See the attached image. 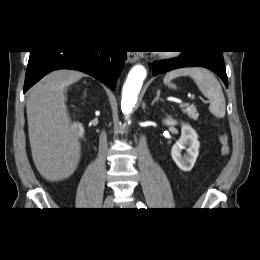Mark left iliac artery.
<instances>
[{
    "label": "left iliac artery",
    "mask_w": 260,
    "mask_h": 260,
    "mask_svg": "<svg viewBox=\"0 0 260 260\" xmlns=\"http://www.w3.org/2000/svg\"><path fill=\"white\" fill-rule=\"evenodd\" d=\"M137 207H138L139 209H144V208H146V206H145L143 203H141V202H138V203H137Z\"/></svg>",
    "instance_id": "left-iliac-artery-1"
}]
</instances>
